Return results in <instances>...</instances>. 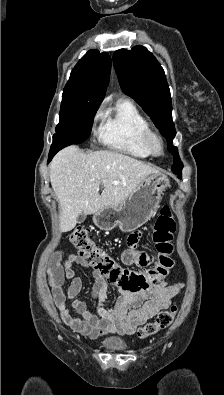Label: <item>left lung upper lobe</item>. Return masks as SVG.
<instances>
[{
    "instance_id": "1",
    "label": "left lung upper lobe",
    "mask_w": 224,
    "mask_h": 395,
    "mask_svg": "<svg viewBox=\"0 0 224 395\" xmlns=\"http://www.w3.org/2000/svg\"><path fill=\"white\" fill-rule=\"evenodd\" d=\"M113 63L122 90L143 108L168 141V150L174 156L172 170L182 164L172 141L176 131L172 121L169 86L163 68L143 46L114 53Z\"/></svg>"
}]
</instances>
